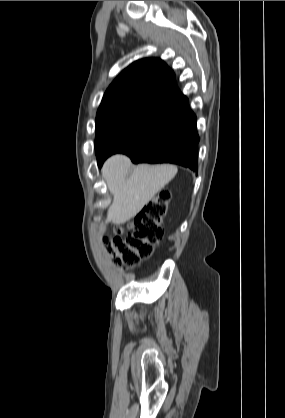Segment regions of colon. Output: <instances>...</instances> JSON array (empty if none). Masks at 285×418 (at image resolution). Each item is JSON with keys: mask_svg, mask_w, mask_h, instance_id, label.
Here are the masks:
<instances>
[{"mask_svg": "<svg viewBox=\"0 0 285 418\" xmlns=\"http://www.w3.org/2000/svg\"><path fill=\"white\" fill-rule=\"evenodd\" d=\"M170 196L169 190H161L125 230L116 228L114 236L104 237L115 264L131 268L152 255L155 245L164 236L161 223L167 214Z\"/></svg>", "mask_w": 285, "mask_h": 418, "instance_id": "colon-1", "label": "colon"}]
</instances>
